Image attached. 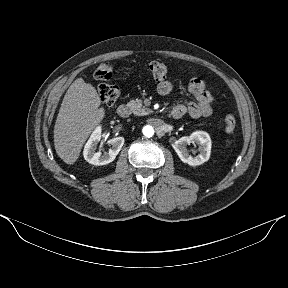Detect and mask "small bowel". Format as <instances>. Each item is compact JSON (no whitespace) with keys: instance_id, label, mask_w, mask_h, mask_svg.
<instances>
[{"instance_id":"small-bowel-1","label":"small bowel","mask_w":288,"mask_h":288,"mask_svg":"<svg viewBox=\"0 0 288 288\" xmlns=\"http://www.w3.org/2000/svg\"><path fill=\"white\" fill-rule=\"evenodd\" d=\"M158 93L162 96H168L172 93L173 86L168 80H162L157 86ZM188 90L195 97V101L187 104H176L172 110V116L176 119L188 114L193 118L206 117L212 114L213 96L207 89L206 83L193 78L188 84Z\"/></svg>"}]
</instances>
